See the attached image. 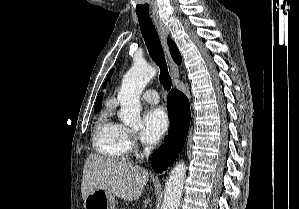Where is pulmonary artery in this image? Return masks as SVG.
<instances>
[{
  "mask_svg": "<svg viewBox=\"0 0 299 209\" xmlns=\"http://www.w3.org/2000/svg\"><path fill=\"white\" fill-rule=\"evenodd\" d=\"M142 99L149 104H157L159 96L156 90L148 89L142 94Z\"/></svg>",
  "mask_w": 299,
  "mask_h": 209,
  "instance_id": "obj_1",
  "label": "pulmonary artery"
}]
</instances>
